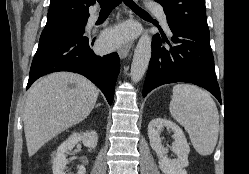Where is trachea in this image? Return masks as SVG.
<instances>
[{"mask_svg":"<svg viewBox=\"0 0 249 174\" xmlns=\"http://www.w3.org/2000/svg\"><path fill=\"white\" fill-rule=\"evenodd\" d=\"M97 1L100 4L101 10H112L122 2V0H97ZM123 1L134 12L148 15V13L145 10L140 8L132 0H123Z\"/></svg>","mask_w":249,"mask_h":174,"instance_id":"1","label":"trachea"}]
</instances>
